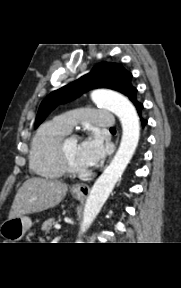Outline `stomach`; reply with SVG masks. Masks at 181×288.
<instances>
[{
  "mask_svg": "<svg viewBox=\"0 0 181 288\" xmlns=\"http://www.w3.org/2000/svg\"><path fill=\"white\" fill-rule=\"evenodd\" d=\"M73 197L77 200H81L83 198L81 195L75 193H73ZM31 226L32 221L26 216L8 218L0 226V235L6 241H10L8 243H17L15 241L21 240Z\"/></svg>",
  "mask_w": 181,
  "mask_h": 288,
  "instance_id": "0dacf381",
  "label": "stomach"
}]
</instances>
